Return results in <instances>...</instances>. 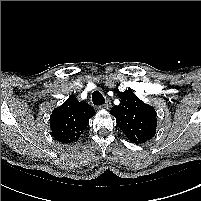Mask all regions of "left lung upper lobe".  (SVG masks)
Masks as SVG:
<instances>
[{
  "mask_svg": "<svg viewBox=\"0 0 201 201\" xmlns=\"http://www.w3.org/2000/svg\"><path fill=\"white\" fill-rule=\"evenodd\" d=\"M121 103L113 106L110 113L115 116L117 125L133 143H144L156 133L157 118L155 109L141 101L129 89L120 92Z\"/></svg>",
  "mask_w": 201,
  "mask_h": 201,
  "instance_id": "obj_1",
  "label": "left lung upper lobe"
}]
</instances>
